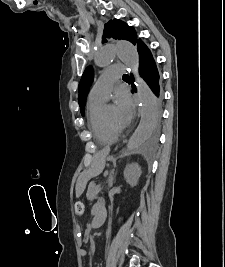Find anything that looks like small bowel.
I'll use <instances>...</instances> for the list:
<instances>
[{
    "label": "small bowel",
    "mask_w": 225,
    "mask_h": 267,
    "mask_svg": "<svg viewBox=\"0 0 225 267\" xmlns=\"http://www.w3.org/2000/svg\"><path fill=\"white\" fill-rule=\"evenodd\" d=\"M99 211H102L103 213H105V207L102 203H98L93 207L92 214L94 215V218L97 216ZM86 254H87V251L85 249L80 250V255L82 257L86 256Z\"/></svg>",
    "instance_id": "obj_1"
}]
</instances>
